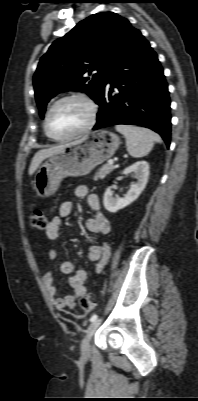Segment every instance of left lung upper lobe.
<instances>
[{
  "instance_id": "left-lung-upper-lobe-1",
  "label": "left lung upper lobe",
  "mask_w": 198,
  "mask_h": 401,
  "mask_svg": "<svg viewBox=\"0 0 198 401\" xmlns=\"http://www.w3.org/2000/svg\"><path fill=\"white\" fill-rule=\"evenodd\" d=\"M138 30L113 12L91 15L54 41L40 59L33 83L43 118L56 94L78 90L98 103L105 82Z\"/></svg>"
}]
</instances>
